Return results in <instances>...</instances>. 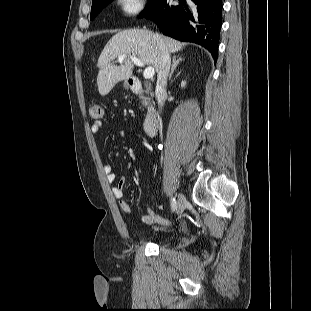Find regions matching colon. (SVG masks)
Masks as SVG:
<instances>
[{"mask_svg": "<svg viewBox=\"0 0 311 311\" xmlns=\"http://www.w3.org/2000/svg\"><path fill=\"white\" fill-rule=\"evenodd\" d=\"M88 115L91 120L100 121L103 118L104 110L99 101H91L88 106Z\"/></svg>", "mask_w": 311, "mask_h": 311, "instance_id": "5ec220e1", "label": "colon"}]
</instances>
